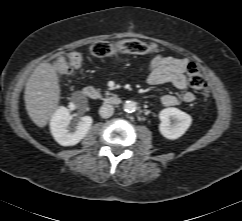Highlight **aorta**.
Masks as SVG:
<instances>
[{"instance_id":"aorta-1","label":"aorta","mask_w":242,"mask_h":221,"mask_svg":"<svg viewBox=\"0 0 242 221\" xmlns=\"http://www.w3.org/2000/svg\"><path fill=\"white\" fill-rule=\"evenodd\" d=\"M123 108L127 113H132L136 110V103L133 101H126Z\"/></svg>"}]
</instances>
